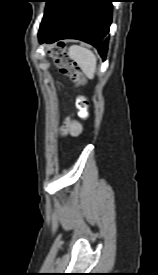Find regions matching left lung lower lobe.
Here are the masks:
<instances>
[{"label": "left lung lower lobe", "instance_id": "1", "mask_svg": "<svg viewBox=\"0 0 158 275\" xmlns=\"http://www.w3.org/2000/svg\"><path fill=\"white\" fill-rule=\"evenodd\" d=\"M112 0H48L39 29L40 43L79 39L106 57ZM61 43H59L60 45Z\"/></svg>", "mask_w": 158, "mask_h": 275}]
</instances>
